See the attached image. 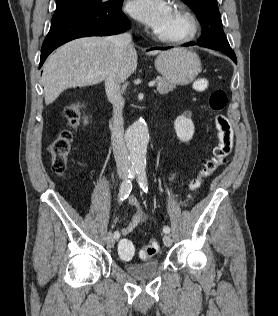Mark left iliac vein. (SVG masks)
Wrapping results in <instances>:
<instances>
[{"mask_svg":"<svg viewBox=\"0 0 278 316\" xmlns=\"http://www.w3.org/2000/svg\"><path fill=\"white\" fill-rule=\"evenodd\" d=\"M163 242L165 246L170 247L172 245V239L169 235H164Z\"/></svg>","mask_w":278,"mask_h":316,"instance_id":"4c4485c4","label":"left iliac vein"}]
</instances>
